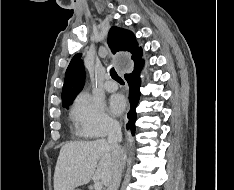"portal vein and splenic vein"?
<instances>
[{
    "mask_svg": "<svg viewBox=\"0 0 234 190\" xmlns=\"http://www.w3.org/2000/svg\"><path fill=\"white\" fill-rule=\"evenodd\" d=\"M102 187H103V184H102L101 181H96V182L94 183V189H95V190H102Z\"/></svg>",
    "mask_w": 234,
    "mask_h": 190,
    "instance_id": "portal-vein-and-splenic-vein-1",
    "label": "portal vein and splenic vein"
}]
</instances>
